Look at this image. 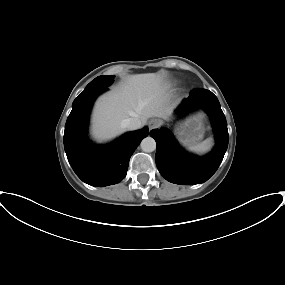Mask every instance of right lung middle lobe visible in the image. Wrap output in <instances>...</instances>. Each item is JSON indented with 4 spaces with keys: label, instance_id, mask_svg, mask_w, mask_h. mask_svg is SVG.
Wrapping results in <instances>:
<instances>
[{
    "label": "right lung middle lobe",
    "instance_id": "obj_1",
    "mask_svg": "<svg viewBox=\"0 0 285 285\" xmlns=\"http://www.w3.org/2000/svg\"><path fill=\"white\" fill-rule=\"evenodd\" d=\"M113 81L114 76H99L91 81L80 95L103 89L104 87L109 86Z\"/></svg>",
    "mask_w": 285,
    "mask_h": 285
}]
</instances>
